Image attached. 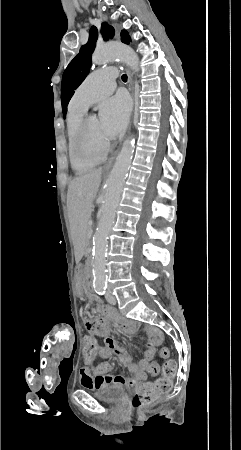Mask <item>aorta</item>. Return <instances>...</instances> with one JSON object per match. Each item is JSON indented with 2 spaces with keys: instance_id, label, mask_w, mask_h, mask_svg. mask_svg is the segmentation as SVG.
I'll return each instance as SVG.
<instances>
[{
  "instance_id": "1",
  "label": "aorta",
  "mask_w": 241,
  "mask_h": 450,
  "mask_svg": "<svg viewBox=\"0 0 241 450\" xmlns=\"http://www.w3.org/2000/svg\"><path fill=\"white\" fill-rule=\"evenodd\" d=\"M115 59L126 63L132 70L138 71L139 60L134 50L125 44L117 42L96 48L92 62L93 64L101 65ZM134 149L135 139L131 136L123 143L106 183L102 215L93 237L92 266L94 285L96 287H103L106 284L108 235L114 224L116 209L131 166Z\"/></svg>"
}]
</instances>
